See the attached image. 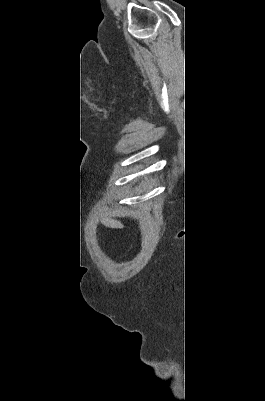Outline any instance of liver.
<instances>
[{
  "label": "liver",
  "mask_w": 265,
  "mask_h": 401,
  "mask_svg": "<svg viewBox=\"0 0 265 401\" xmlns=\"http://www.w3.org/2000/svg\"><path fill=\"white\" fill-rule=\"evenodd\" d=\"M109 227H113V229H123L122 223L120 221H113V219H108L107 221Z\"/></svg>",
  "instance_id": "liver-1"
}]
</instances>
